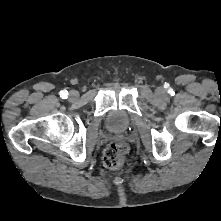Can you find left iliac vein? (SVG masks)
Listing matches in <instances>:
<instances>
[{
    "label": "left iliac vein",
    "instance_id": "left-iliac-vein-1",
    "mask_svg": "<svg viewBox=\"0 0 221 221\" xmlns=\"http://www.w3.org/2000/svg\"><path fill=\"white\" fill-rule=\"evenodd\" d=\"M157 93H158V94H162V93H163V90H162L161 88H159V89L157 90Z\"/></svg>",
    "mask_w": 221,
    "mask_h": 221
}]
</instances>
